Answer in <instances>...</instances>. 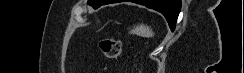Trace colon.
Wrapping results in <instances>:
<instances>
[{"label": "colon", "instance_id": "1", "mask_svg": "<svg viewBox=\"0 0 244 73\" xmlns=\"http://www.w3.org/2000/svg\"><path fill=\"white\" fill-rule=\"evenodd\" d=\"M99 46L103 54L110 59H116L121 54L122 44L117 38H104Z\"/></svg>", "mask_w": 244, "mask_h": 73}]
</instances>
